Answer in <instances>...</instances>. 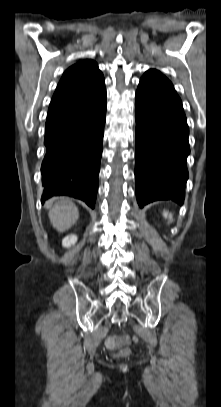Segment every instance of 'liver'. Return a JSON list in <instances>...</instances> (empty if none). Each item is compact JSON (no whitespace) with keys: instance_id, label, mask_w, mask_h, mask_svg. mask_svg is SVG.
Returning a JSON list of instances; mask_svg holds the SVG:
<instances>
[{"instance_id":"obj_1","label":"liver","mask_w":221,"mask_h":407,"mask_svg":"<svg viewBox=\"0 0 221 407\" xmlns=\"http://www.w3.org/2000/svg\"><path fill=\"white\" fill-rule=\"evenodd\" d=\"M52 226L59 232L69 230L78 220L79 211L75 204L66 197H54L46 203Z\"/></svg>"}]
</instances>
